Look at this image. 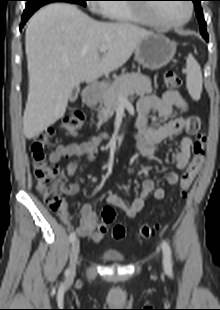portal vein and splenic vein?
<instances>
[{
  "instance_id": "1",
  "label": "portal vein and splenic vein",
  "mask_w": 220,
  "mask_h": 310,
  "mask_svg": "<svg viewBox=\"0 0 220 310\" xmlns=\"http://www.w3.org/2000/svg\"><path fill=\"white\" fill-rule=\"evenodd\" d=\"M99 51H100V53H106L107 48H105V47H101Z\"/></svg>"
}]
</instances>
